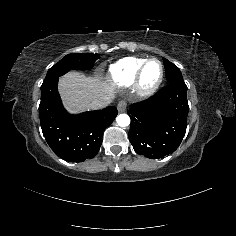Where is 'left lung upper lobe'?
I'll list each match as a JSON object with an SVG mask.
<instances>
[{"label":"left lung upper lobe","instance_id":"1","mask_svg":"<svg viewBox=\"0 0 236 236\" xmlns=\"http://www.w3.org/2000/svg\"><path fill=\"white\" fill-rule=\"evenodd\" d=\"M163 61L166 69V78L168 83L176 81H184L182 74L176 65H174L165 58H163Z\"/></svg>","mask_w":236,"mask_h":236}]
</instances>
